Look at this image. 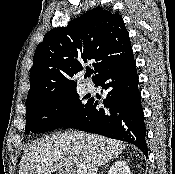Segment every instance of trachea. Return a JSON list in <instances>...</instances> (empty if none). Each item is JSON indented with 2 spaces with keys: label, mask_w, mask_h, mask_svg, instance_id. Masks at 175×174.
<instances>
[{
  "label": "trachea",
  "mask_w": 175,
  "mask_h": 174,
  "mask_svg": "<svg viewBox=\"0 0 175 174\" xmlns=\"http://www.w3.org/2000/svg\"><path fill=\"white\" fill-rule=\"evenodd\" d=\"M93 72L92 71H87V73H86V76H91V74H92Z\"/></svg>",
  "instance_id": "trachea-1"
}]
</instances>
